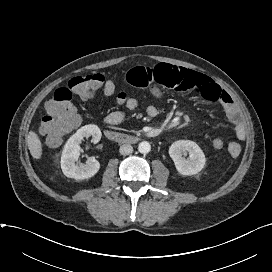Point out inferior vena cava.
<instances>
[{"label": "inferior vena cava", "mask_w": 272, "mask_h": 272, "mask_svg": "<svg viewBox=\"0 0 272 272\" xmlns=\"http://www.w3.org/2000/svg\"><path fill=\"white\" fill-rule=\"evenodd\" d=\"M133 152V147L129 144H124L120 147V153L122 155H128Z\"/></svg>", "instance_id": "1"}]
</instances>
